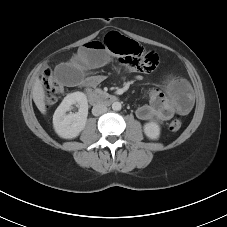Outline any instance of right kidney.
<instances>
[{"label":"right kidney","instance_id":"1","mask_svg":"<svg viewBox=\"0 0 227 227\" xmlns=\"http://www.w3.org/2000/svg\"><path fill=\"white\" fill-rule=\"evenodd\" d=\"M76 104L78 112L66 114L72 105ZM88 116L87 97L82 92L68 94L56 109L53 115V127L55 132L65 139L76 138L85 128Z\"/></svg>","mask_w":227,"mask_h":227}]
</instances>
